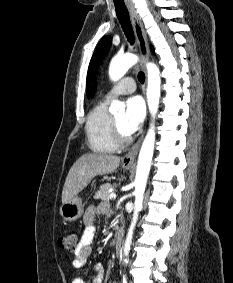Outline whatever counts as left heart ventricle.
Wrapping results in <instances>:
<instances>
[{
  "label": "left heart ventricle",
  "mask_w": 233,
  "mask_h": 283,
  "mask_svg": "<svg viewBox=\"0 0 233 283\" xmlns=\"http://www.w3.org/2000/svg\"><path fill=\"white\" fill-rule=\"evenodd\" d=\"M124 117H125V114L120 113V114H117L116 116H114V119L116 120L117 125H118L119 129L121 130V132L123 134L127 135L128 133L124 129Z\"/></svg>",
  "instance_id": "obj_1"
}]
</instances>
